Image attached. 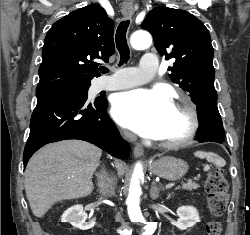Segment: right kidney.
Here are the masks:
<instances>
[{
    "label": "right kidney",
    "mask_w": 250,
    "mask_h": 235,
    "mask_svg": "<svg viewBox=\"0 0 250 235\" xmlns=\"http://www.w3.org/2000/svg\"><path fill=\"white\" fill-rule=\"evenodd\" d=\"M87 219V214L83 210L82 205H75L68 208L62 215L61 221L68 222L73 227L80 230H88L94 226V223L85 222Z\"/></svg>",
    "instance_id": "1"
}]
</instances>
